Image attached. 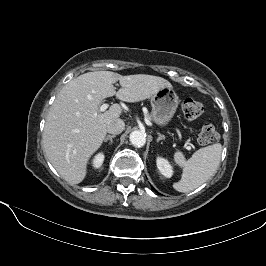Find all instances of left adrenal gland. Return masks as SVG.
I'll return each instance as SVG.
<instances>
[{
    "label": "left adrenal gland",
    "instance_id": "1",
    "mask_svg": "<svg viewBox=\"0 0 266 266\" xmlns=\"http://www.w3.org/2000/svg\"><path fill=\"white\" fill-rule=\"evenodd\" d=\"M157 135H158L157 142L165 139V136L162 135L161 133L157 132Z\"/></svg>",
    "mask_w": 266,
    "mask_h": 266
}]
</instances>
